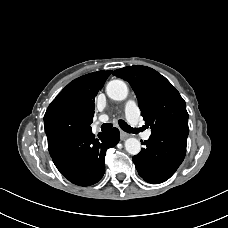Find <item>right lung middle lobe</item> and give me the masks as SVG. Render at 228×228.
Masks as SVG:
<instances>
[{
	"instance_id": "right-lung-middle-lobe-1",
	"label": "right lung middle lobe",
	"mask_w": 228,
	"mask_h": 228,
	"mask_svg": "<svg viewBox=\"0 0 228 228\" xmlns=\"http://www.w3.org/2000/svg\"><path fill=\"white\" fill-rule=\"evenodd\" d=\"M48 144L71 134L90 129V122L81 114L65 107L47 109L44 116Z\"/></svg>"
}]
</instances>
